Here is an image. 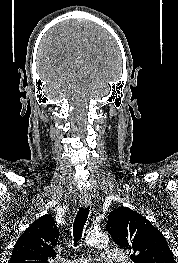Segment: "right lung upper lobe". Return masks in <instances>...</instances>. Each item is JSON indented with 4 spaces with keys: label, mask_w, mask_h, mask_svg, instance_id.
<instances>
[{
    "label": "right lung upper lobe",
    "mask_w": 178,
    "mask_h": 263,
    "mask_svg": "<svg viewBox=\"0 0 178 263\" xmlns=\"http://www.w3.org/2000/svg\"><path fill=\"white\" fill-rule=\"evenodd\" d=\"M59 229L51 215L41 216L18 238L9 263H49L56 256L53 249Z\"/></svg>",
    "instance_id": "1"
}]
</instances>
